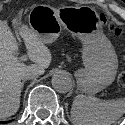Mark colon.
I'll list each match as a JSON object with an SVG mask.
<instances>
[{
  "mask_svg": "<svg viewBox=\"0 0 125 125\" xmlns=\"http://www.w3.org/2000/svg\"><path fill=\"white\" fill-rule=\"evenodd\" d=\"M99 20L101 21V23L108 29L110 30L113 34L120 36L122 35L123 31L121 28L115 26L110 19L104 14L101 13L99 15ZM125 59V56H124ZM119 84L123 87H125V68L121 71V73L119 74Z\"/></svg>",
  "mask_w": 125,
  "mask_h": 125,
  "instance_id": "1",
  "label": "colon"
}]
</instances>
